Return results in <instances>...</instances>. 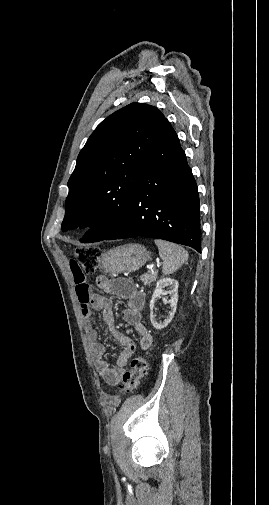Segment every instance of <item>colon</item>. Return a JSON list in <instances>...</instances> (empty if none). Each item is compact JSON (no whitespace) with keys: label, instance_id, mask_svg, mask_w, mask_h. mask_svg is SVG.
I'll return each instance as SVG.
<instances>
[{"label":"colon","instance_id":"obj_1","mask_svg":"<svg viewBox=\"0 0 269 505\" xmlns=\"http://www.w3.org/2000/svg\"><path fill=\"white\" fill-rule=\"evenodd\" d=\"M100 251L96 247H81L75 252V260L79 261L80 268L85 274H94L99 266ZM145 356H137L131 361V367L122 376L120 391L123 394H132L137 391L141 380L147 371Z\"/></svg>","mask_w":269,"mask_h":505}]
</instances>
